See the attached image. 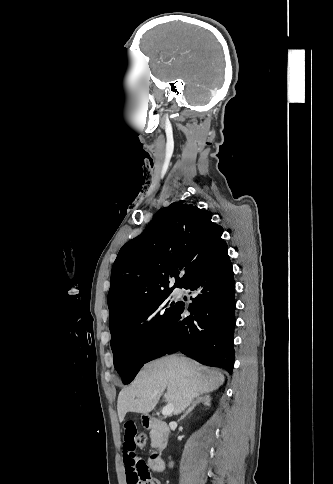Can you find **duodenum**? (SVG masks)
I'll use <instances>...</instances> for the list:
<instances>
[{"label":"duodenum","mask_w":333,"mask_h":484,"mask_svg":"<svg viewBox=\"0 0 333 484\" xmlns=\"http://www.w3.org/2000/svg\"><path fill=\"white\" fill-rule=\"evenodd\" d=\"M143 425L147 429H154L160 434L164 435L168 432V425L153 417H145L143 420ZM164 440H160L157 446V451L153 453L150 459L151 469L155 472H163L165 469L164 460L160 456L159 452L165 448Z\"/></svg>","instance_id":"obj_1"}]
</instances>
